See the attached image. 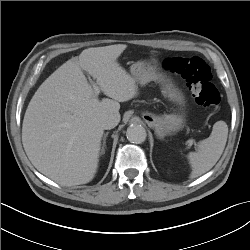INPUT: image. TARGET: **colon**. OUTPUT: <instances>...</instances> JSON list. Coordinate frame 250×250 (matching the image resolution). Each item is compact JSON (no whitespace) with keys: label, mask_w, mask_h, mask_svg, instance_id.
Returning <instances> with one entry per match:
<instances>
[{"label":"colon","mask_w":250,"mask_h":250,"mask_svg":"<svg viewBox=\"0 0 250 250\" xmlns=\"http://www.w3.org/2000/svg\"><path fill=\"white\" fill-rule=\"evenodd\" d=\"M164 68L181 76L195 101L206 108H216L220 103V94L212 83L210 67L198 56L170 57L164 61Z\"/></svg>","instance_id":"colon-1"}]
</instances>
